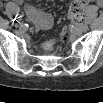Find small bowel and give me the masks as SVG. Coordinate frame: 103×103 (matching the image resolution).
I'll use <instances>...</instances> for the list:
<instances>
[{
  "mask_svg": "<svg viewBox=\"0 0 103 103\" xmlns=\"http://www.w3.org/2000/svg\"><path fill=\"white\" fill-rule=\"evenodd\" d=\"M27 19L32 22L36 31L49 29L53 24V18L50 14L41 12L36 7L26 4L24 7Z\"/></svg>",
  "mask_w": 103,
  "mask_h": 103,
  "instance_id": "1",
  "label": "small bowel"
}]
</instances>
